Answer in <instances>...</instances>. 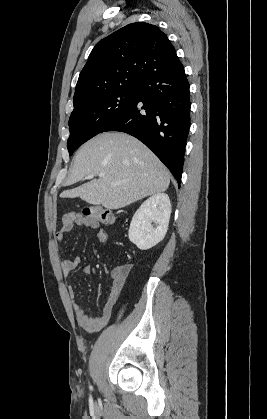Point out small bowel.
Returning a JSON list of instances; mask_svg holds the SVG:
<instances>
[{
    "instance_id": "1",
    "label": "small bowel",
    "mask_w": 267,
    "mask_h": 419,
    "mask_svg": "<svg viewBox=\"0 0 267 419\" xmlns=\"http://www.w3.org/2000/svg\"><path fill=\"white\" fill-rule=\"evenodd\" d=\"M75 226H82L91 229H98L99 223L83 216L78 212H69L62 217V225L60 230L56 234L58 241H63L64 235L73 230ZM108 233L104 229H98L97 239L100 243L106 244L108 241ZM80 263L79 257H74L70 259H64L62 261V275L67 277L72 271H74ZM92 268L90 266H85L81 270L82 275H90ZM129 269L127 268L126 272L119 273L117 270L111 272V288L109 291V296L106 302L103 305L102 313L99 316H91L86 310L80 306L76 301L75 287L70 286L68 288L69 295L72 299V307L74 309L76 320L78 324L89 330V331H98L102 329L110 320L114 306L120 296V293L125 285Z\"/></svg>"
}]
</instances>
